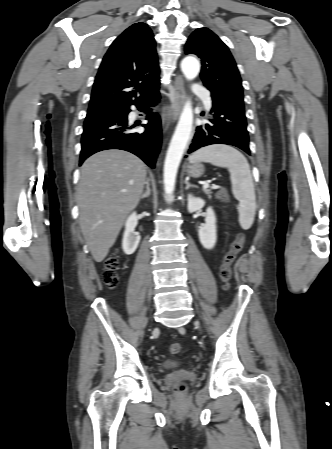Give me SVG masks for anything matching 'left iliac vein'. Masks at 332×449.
Masks as SVG:
<instances>
[{
  "label": "left iliac vein",
  "instance_id": "left-iliac-vein-1",
  "mask_svg": "<svg viewBox=\"0 0 332 449\" xmlns=\"http://www.w3.org/2000/svg\"><path fill=\"white\" fill-rule=\"evenodd\" d=\"M195 325L197 326V328H199V324H198V322H195Z\"/></svg>",
  "mask_w": 332,
  "mask_h": 449
}]
</instances>
